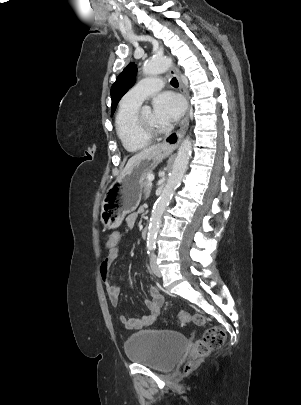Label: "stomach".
<instances>
[{
    "label": "stomach",
    "mask_w": 301,
    "mask_h": 405,
    "mask_svg": "<svg viewBox=\"0 0 301 405\" xmlns=\"http://www.w3.org/2000/svg\"><path fill=\"white\" fill-rule=\"evenodd\" d=\"M171 152V149L160 146L110 186L102 202L101 221L105 226H119L125 215L138 207L147 174Z\"/></svg>",
    "instance_id": "stomach-1"
}]
</instances>
